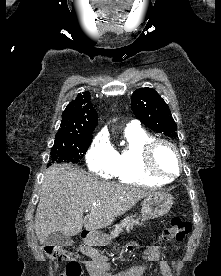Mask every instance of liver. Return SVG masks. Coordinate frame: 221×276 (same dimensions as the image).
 I'll use <instances>...</instances> for the list:
<instances>
[{
    "mask_svg": "<svg viewBox=\"0 0 221 276\" xmlns=\"http://www.w3.org/2000/svg\"><path fill=\"white\" fill-rule=\"evenodd\" d=\"M154 193L150 189L100 181L70 164L52 165L44 174L36 211L35 232L40 244L51 233L77 235L107 227L137 202ZM89 213L84 217V211Z\"/></svg>",
    "mask_w": 221,
    "mask_h": 276,
    "instance_id": "obj_1",
    "label": "liver"
}]
</instances>
